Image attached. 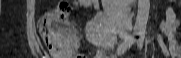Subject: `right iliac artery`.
I'll use <instances>...</instances> for the list:
<instances>
[{
    "mask_svg": "<svg viewBox=\"0 0 181 58\" xmlns=\"http://www.w3.org/2000/svg\"><path fill=\"white\" fill-rule=\"evenodd\" d=\"M136 41V34L129 35L126 40L121 43L117 49V54L122 55L125 53Z\"/></svg>",
    "mask_w": 181,
    "mask_h": 58,
    "instance_id": "obj_1",
    "label": "right iliac artery"
}]
</instances>
